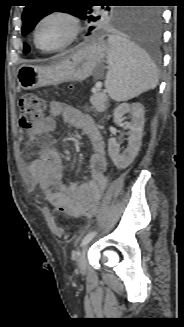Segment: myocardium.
<instances>
[{"label": "myocardium", "instance_id": "myocardium-1", "mask_svg": "<svg viewBox=\"0 0 184 327\" xmlns=\"http://www.w3.org/2000/svg\"><path fill=\"white\" fill-rule=\"evenodd\" d=\"M51 18H61L64 19L68 25H69V35L67 39L60 45L53 47V48H44L39 44L38 41V30L42 23H44L46 20L51 19ZM81 31V25L79 22V19L72 14L71 12L65 11V10H53L50 11L46 14H44L35 24L34 29H33V38H34V43L38 49L44 52H56L63 50L70 46L79 36Z\"/></svg>", "mask_w": 184, "mask_h": 327}]
</instances>
